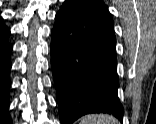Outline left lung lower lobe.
Masks as SVG:
<instances>
[{"mask_svg": "<svg viewBox=\"0 0 156 124\" xmlns=\"http://www.w3.org/2000/svg\"><path fill=\"white\" fill-rule=\"evenodd\" d=\"M115 47L112 21L79 0L63 3L50 47L61 124L92 113L113 114L122 122Z\"/></svg>", "mask_w": 156, "mask_h": 124, "instance_id": "0a47b994", "label": "left lung lower lobe"}]
</instances>
